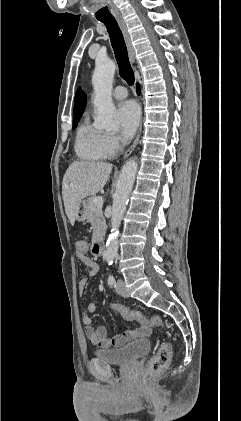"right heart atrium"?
<instances>
[{"label": "right heart atrium", "mask_w": 241, "mask_h": 421, "mask_svg": "<svg viewBox=\"0 0 241 421\" xmlns=\"http://www.w3.org/2000/svg\"><path fill=\"white\" fill-rule=\"evenodd\" d=\"M102 143L109 157L117 153L121 147V142H120L119 137L113 133H103Z\"/></svg>", "instance_id": "obj_1"}]
</instances>
